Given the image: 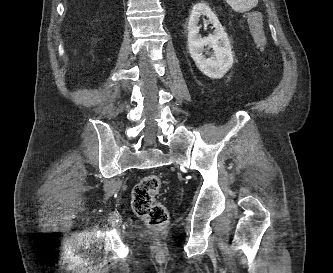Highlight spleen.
I'll list each match as a JSON object with an SVG mask.
<instances>
[{
    "instance_id": "3e777b00",
    "label": "spleen",
    "mask_w": 333,
    "mask_h": 273,
    "mask_svg": "<svg viewBox=\"0 0 333 273\" xmlns=\"http://www.w3.org/2000/svg\"><path fill=\"white\" fill-rule=\"evenodd\" d=\"M236 12L243 13L254 8L258 0H225Z\"/></svg>"
}]
</instances>
